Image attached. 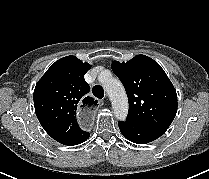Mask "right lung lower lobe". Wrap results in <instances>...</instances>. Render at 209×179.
<instances>
[{"mask_svg": "<svg viewBox=\"0 0 209 179\" xmlns=\"http://www.w3.org/2000/svg\"><path fill=\"white\" fill-rule=\"evenodd\" d=\"M89 136H90V134L88 132H85L77 140H75L72 144H70V146L83 143L84 141H86L89 138Z\"/></svg>", "mask_w": 209, "mask_h": 179, "instance_id": "98d812e1", "label": "right lung lower lobe"}]
</instances>
